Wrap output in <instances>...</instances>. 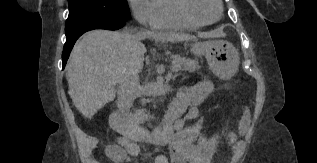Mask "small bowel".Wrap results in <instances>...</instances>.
Segmentation results:
<instances>
[{
  "label": "small bowel",
  "mask_w": 317,
  "mask_h": 163,
  "mask_svg": "<svg viewBox=\"0 0 317 163\" xmlns=\"http://www.w3.org/2000/svg\"><path fill=\"white\" fill-rule=\"evenodd\" d=\"M213 85L209 82H200L181 90L172 103L169 112L177 115L175 134L170 140L171 160L166 156H157L153 163H211L217 147L214 138H206L200 134V121L191 127H186V121L198 119L201 103L212 93ZM187 111L184 119L179 115ZM248 121V113L244 112L241 127ZM227 140L232 141L233 136L228 135ZM109 158L114 163H130L133 157L140 155L139 146L134 143L125 146L119 155H113L110 148L107 150Z\"/></svg>",
  "instance_id": "obj_1"
}]
</instances>
